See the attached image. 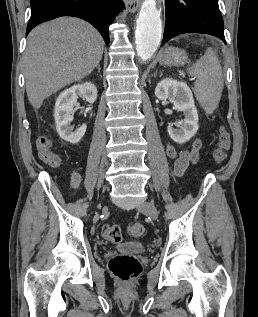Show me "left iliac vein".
I'll list each match as a JSON object with an SVG mask.
<instances>
[{"label": "left iliac vein", "instance_id": "obj_1", "mask_svg": "<svg viewBox=\"0 0 258 317\" xmlns=\"http://www.w3.org/2000/svg\"><path fill=\"white\" fill-rule=\"evenodd\" d=\"M138 208L140 213H145L152 219L158 218L157 208L153 205L152 202H148L147 200H142Z\"/></svg>", "mask_w": 258, "mask_h": 317}]
</instances>
